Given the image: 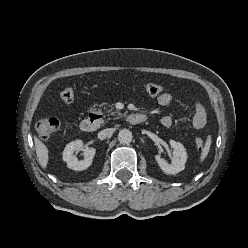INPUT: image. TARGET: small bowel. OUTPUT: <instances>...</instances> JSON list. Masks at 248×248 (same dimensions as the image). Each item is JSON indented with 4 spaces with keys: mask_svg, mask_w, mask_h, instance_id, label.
Wrapping results in <instances>:
<instances>
[{
    "mask_svg": "<svg viewBox=\"0 0 248 248\" xmlns=\"http://www.w3.org/2000/svg\"><path fill=\"white\" fill-rule=\"evenodd\" d=\"M157 101L161 106H167L171 103L172 96L169 93H163L158 96ZM207 118H208L207 108L202 102L196 101L194 103V115L191 121L192 126L195 129L203 128L207 123ZM161 123L164 127L169 128L173 125V119L171 116H164L161 119Z\"/></svg>",
    "mask_w": 248,
    "mask_h": 248,
    "instance_id": "obj_1",
    "label": "small bowel"
}]
</instances>
